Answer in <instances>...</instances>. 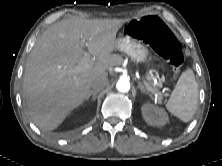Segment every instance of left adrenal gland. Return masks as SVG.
Segmentation results:
<instances>
[{
	"instance_id": "left-adrenal-gland-1",
	"label": "left adrenal gland",
	"mask_w": 222,
	"mask_h": 166,
	"mask_svg": "<svg viewBox=\"0 0 222 166\" xmlns=\"http://www.w3.org/2000/svg\"><path fill=\"white\" fill-rule=\"evenodd\" d=\"M138 88L143 92V93H148L146 88L143 86V84L138 81Z\"/></svg>"
}]
</instances>
